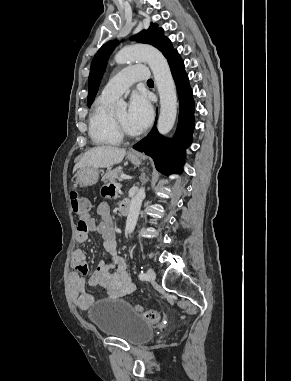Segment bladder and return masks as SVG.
I'll use <instances>...</instances> for the list:
<instances>
[{"mask_svg":"<svg viewBox=\"0 0 291 381\" xmlns=\"http://www.w3.org/2000/svg\"><path fill=\"white\" fill-rule=\"evenodd\" d=\"M89 314L102 334L125 340L131 345L144 343L153 336L154 326L135 313L124 300L96 305Z\"/></svg>","mask_w":291,"mask_h":381,"instance_id":"31cf9c89","label":"bladder"}]
</instances>
